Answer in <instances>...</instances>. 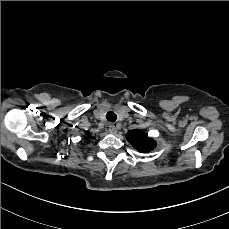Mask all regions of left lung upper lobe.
<instances>
[{
	"label": "left lung upper lobe",
	"instance_id": "1",
	"mask_svg": "<svg viewBox=\"0 0 229 229\" xmlns=\"http://www.w3.org/2000/svg\"><path fill=\"white\" fill-rule=\"evenodd\" d=\"M126 138L131 145L141 153L151 152L156 147L155 141L141 130L128 131Z\"/></svg>",
	"mask_w": 229,
	"mask_h": 229
}]
</instances>
